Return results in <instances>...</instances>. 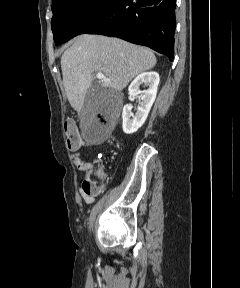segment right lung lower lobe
Segmentation results:
<instances>
[{"mask_svg":"<svg viewBox=\"0 0 240 288\" xmlns=\"http://www.w3.org/2000/svg\"><path fill=\"white\" fill-rule=\"evenodd\" d=\"M176 0H112L80 34H101L148 46L174 58Z\"/></svg>","mask_w":240,"mask_h":288,"instance_id":"98d812e1","label":"right lung lower lobe"}]
</instances>
